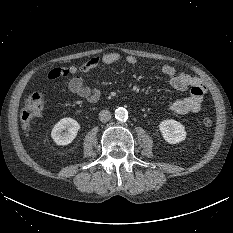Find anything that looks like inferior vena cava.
I'll list each match as a JSON object with an SVG mask.
<instances>
[{"instance_id":"obj_1","label":"inferior vena cava","mask_w":233,"mask_h":233,"mask_svg":"<svg viewBox=\"0 0 233 233\" xmlns=\"http://www.w3.org/2000/svg\"><path fill=\"white\" fill-rule=\"evenodd\" d=\"M99 119L101 122H107L111 119V113L108 110H102L99 113Z\"/></svg>"}]
</instances>
